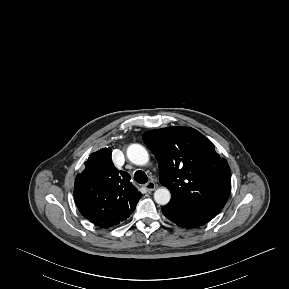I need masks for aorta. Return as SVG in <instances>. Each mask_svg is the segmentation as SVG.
Segmentation results:
<instances>
[{
	"label": "aorta",
	"instance_id": "obj_1",
	"mask_svg": "<svg viewBox=\"0 0 289 289\" xmlns=\"http://www.w3.org/2000/svg\"><path fill=\"white\" fill-rule=\"evenodd\" d=\"M127 157L132 163L139 166L146 165L149 161V154L147 150L140 144L129 145L127 148ZM170 198V191L165 187L158 188L154 192L155 202L159 205L168 204Z\"/></svg>",
	"mask_w": 289,
	"mask_h": 289
}]
</instances>
